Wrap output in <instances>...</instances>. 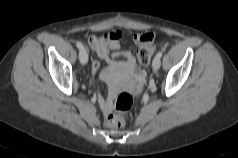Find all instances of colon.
Returning <instances> with one entry per match:
<instances>
[{"instance_id":"1","label":"colon","mask_w":238,"mask_h":158,"mask_svg":"<svg viewBox=\"0 0 238 158\" xmlns=\"http://www.w3.org/2000/svg\"><path fill=\"white\" fill-rule=\"evenodd\" d=\"M142 39L151 40L152 36L146 35L143 36ZM153 52L154 47L151 44H144V46H141L137 51L139 63L143 66L148 65ZM132 104L133 98L128 92L124 90L118 91L114 101V108L107 114L105 124L110 128H120L124 126L126 122V113L130 110Z\"/></svg>"}]
</instances>
